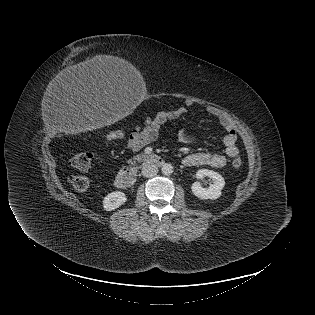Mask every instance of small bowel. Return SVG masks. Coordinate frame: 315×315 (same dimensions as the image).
I'll return each instance as SVG.
<instances>
[{
	"label": "small bowel",
	"mask_w": 315,
	"mask_h": 315,
	"mask_svg": "<svg viewBox=\"0 0 315 315\" xmlns=\"http://www.w3.org/2000/svg\"><path fill=\"white\" fill-rule=\"evenodd\" d=\"M193 104L188 100L185 106L178 107L170 111L158 112L148 117L143 123L137 125L129 134L127 148L130 151H139L145 146L155 142L163 126L171 120L178 119L187 112V107ZM206 111L209 115L218 119L219 123L226 130L223 138L225 145V155L220 152H198L187 155L183 159V164L189 167L210 166L222 168L227 163V157H236L239 153L236 141L237 131L230 117L222 110L214 106H208ZM179 141L190 143L196 139V135L189 130H181L178 134Z\"/></svg>",
	"instance_id": "obj_1"
}]
</instances>
